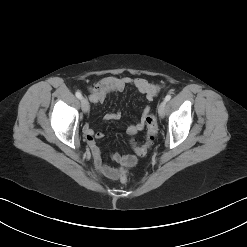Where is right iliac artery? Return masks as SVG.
<instances>
[{
  "label": "right iliac artery",
  "instance_id": "1",
  "mask_svg": "<svg viewBox=\"0 0 247 247\" xmlns=\"http://www.w3.org/2000/svg\"><path fill=\"white\" fill-rule=\"evenodd\" d=\"M75 95H76V97H77L78 99H81V98H82V94H81L80 92H76Z\"/></svg>",
  "mask_w": 247,
  "mask_h": 247
}]
</instances>
